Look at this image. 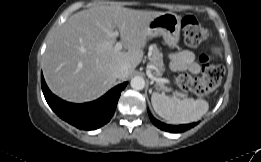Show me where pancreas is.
Instances as JSON below:
<instances>
[{
  "label": "pancreas",
  "instance_id": "cf45deb5",
  "mask_svg": "<svg viewBox=\"0 0 261 162\" xmlns=\"http://www.w3.org/2000/svg\"><path fill=\"white\" fill-rule=\"evenodd\" d=\"M150 66L153 69H157L158 71H154L156 76H161L164 71V63H163V55L159 51L156 45L151 46V56H150ZM157 90L168 91V88L165 86V83L157 82L155 85ZM183 96V94H181Z\"/></svg>",
  "mask_w": 261,
  "mask_h": 162
}]
</instances>
